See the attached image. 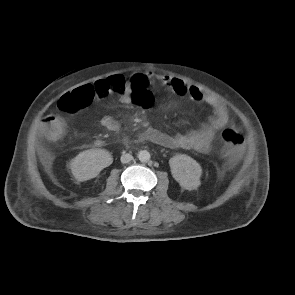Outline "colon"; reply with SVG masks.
I'll return each mask as SVG.
<instances>
[{
	"mask_svg": "<svg viewBox=\"0 0 295 295\" xmlns=\"http://www.w3.org/2000/svg\"><path fill=\"white\" fill-rule=\"evenodd\" d=\"M126 86L127 80L124 77L120 75L112 76L93 85L81 86L65 94L60 99L59 106L62 112L75 113L91 103L95 97L109 93L121 94L126 89ZM130 95L134 104L139 106H151L154 99L153 93H148L146 87H131ZM42 129L48 140L58 141L64 134V120L59 116L46 118ZM222 137L224 140L223 155L230 162L237 161L244 148L243 134L236 129L228 128L223 131Z\"/></svg>",
	"mask_w": 295,
	"mask_h": 295,
	"instance_id": "1",
	"label": "colon"
}]
</instances>
